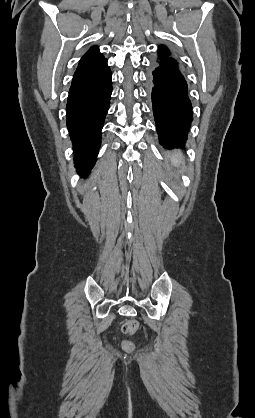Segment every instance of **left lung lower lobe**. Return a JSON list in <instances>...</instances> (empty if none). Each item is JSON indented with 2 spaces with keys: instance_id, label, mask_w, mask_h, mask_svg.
I'll use <instances>...</instances> for the list:
<instances>
[{
  "instance_id": "1",
  "label": "left lung lower lobe",
  "mask_w": 255,
  "mask_h": 418,
  "mask_svg": "<svg viewBox=\"0 0 255 418\" xmlns=\"http://www.w3.org/2000/svg\"><path fill=\"white\" fill-rule=\"evenodd\" d=\"M152 104L160 144L183 147L193 120L189 88L179 61L160 46L151 76Z\"/></svg>"
}]
</instances>
